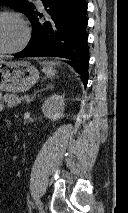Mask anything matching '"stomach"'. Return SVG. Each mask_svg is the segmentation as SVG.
<instances>
[{"label":"stomach","instance_id":"1","mask_svg":"<svg viewBox=\"0 0 128 213\" xmlns=\"http://www.w3.org/2000/svg\"><path fill=\"white\" fill-rule=\"evenodd\" d=\"M39 79V71L30 62L0 59V91L13 93L30 89Z\"/></svg>","mask_w":128,"mask_h":213}]
</instances>
